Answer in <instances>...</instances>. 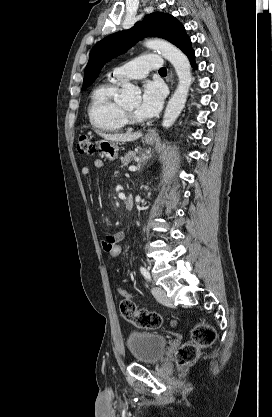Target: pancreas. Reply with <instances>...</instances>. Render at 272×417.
Returning <instances> with one entry per match:
<instances>
[{
  "mask_svg": "<svg viewBox=\"0 0 272 417\" xmlns=\"http://www.w3.org/2000/svg\"><path fill=\"white\" fill-rule=\"evenodd\" d=\"M132 161H141V158L137 157L134 152H129L121 158L122 166H126Z\"/></svg>",
  "mask_w": 272,
  "mask_h": 417,
  "instance_id": "obj_1",
  "label": "pancreas"
}]
</instances>
